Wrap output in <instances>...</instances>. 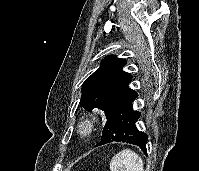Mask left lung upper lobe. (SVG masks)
<instances>
[{
  "mask_svg": "<svg viewBox=\"0 0 199 171\" xmlns=\"http://www.w3.org/2000/svg\"><path fill=\"white\" fill-rule=\"evenodd\" d=\"M125 59L107 56L82 84L80 105L91 111L101 109L108 118L135 91L129 88L131 75L123 71Z\"/></svg>",
  "mask_w": 199,
  "mask_h": 171,
  "instance_id": "obj_1",
  "label": "left lung upper lobe"
}]
</instances>
